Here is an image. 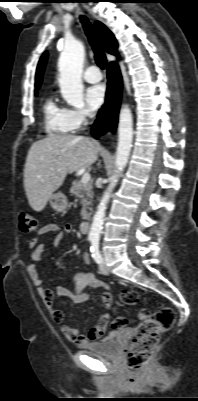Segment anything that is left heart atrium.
Masks as SVG:
<instances>
[{"label": "left heart atrium", "instance_id": "left-heart-atrium-1", "mask_svg": "<svg viewBox=\"0 0 198 401\" xmlns=\"http://www.w3.org/2000/svg\"><path fill=\"white\" fill-rule=\"evenodd\" d=\"M106 98V89L103 84H95L89 87L85 93V100L89 108L93 111L98 110Z\"/></svg>", "mask_w": 198, "mask_h": 401}]
</instances>
